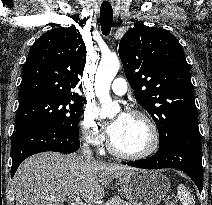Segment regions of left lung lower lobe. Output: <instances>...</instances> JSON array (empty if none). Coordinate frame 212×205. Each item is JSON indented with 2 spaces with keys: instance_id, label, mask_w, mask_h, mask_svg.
Here are the masks:
<instances>
[{
  "instance_id": "0a47b994",
  "label": "left lung lower lobe",
  "mask_w": 212,
  "mask_h": 205,
  "mask_svg": "<svg viewBox=\"0 0 212 205\" xmlns=\"http://www.w3.org/2000/svg\"><path fill=\"white\" fill-rule=\"evenodd\" d=\"M201 139L198 119L180 126L164 147H159L153 156L134 162H123L129 166L145 169L177 168L185 172L202 191Z\"/></svg>"
}]
</instances>
